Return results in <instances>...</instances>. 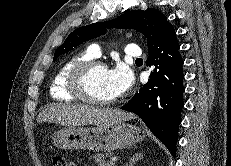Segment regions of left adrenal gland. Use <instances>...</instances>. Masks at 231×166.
Returning <instances> with one entry per match:
<instances>
[{
    "instance_id": "left-adrenal-gland-1",
    "label": "left adrenal gland",
    "mask_w": 231,
    "mask_h": 166,
    "mask_svg": "<svg viewBox=\"0 0 231 166\" xmlns=\"http://www.w3.org/2000/svg\"><path fill=\"white\" fill-rule=\"evenodd\" d=\"M142 157H143V153L142 152H137V153L133 154V156H131L129 158V161L127 162L126 166H133Z\"/></svg>"
}]
</instances>
